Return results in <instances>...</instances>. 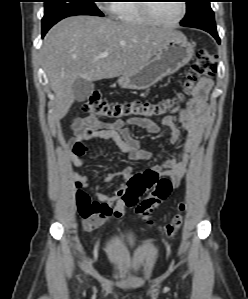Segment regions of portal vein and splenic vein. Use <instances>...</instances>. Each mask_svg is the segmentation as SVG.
<instances>
[{
    "instance_id": "obj_1",
    "label": "portal vein and splenic vein",
    "mask_w": 248,
    "mask_h": 299,
    "mask_svg": "<svg viewBox=\"0 0 248 299\" xmlns=\"http://www.w3.org/2000/svg\"><path fill=\"white\" fill-rule=\"evenodd\" d=\"M107 56H109V53L107 51H105L99 55L100 58H105Z\"/></svg>"
}]
</instances>
